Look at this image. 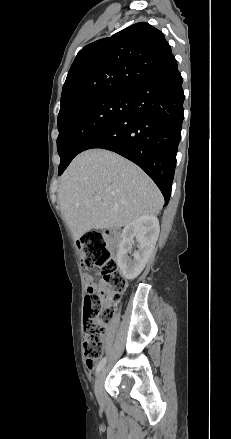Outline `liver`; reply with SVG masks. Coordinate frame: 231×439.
<instances>
[{
	"label": "liver",
	"instance_id": "6515ba94",
	"mask_svg": "<svg viewBox=\"0 0 231 439\" xmlns=\"http://www.w3.org/2000/svg\"><path fill=\"white\" fill-rule=\"evenodd\" d=\"M58 199L75 239L91 229H118L141 216H155L164 204L144 171L105 149H90L73 159L61 177Z\"/></svg>",
	"mask_w": 231,
	"mask_h": 439
}]
</instances>
